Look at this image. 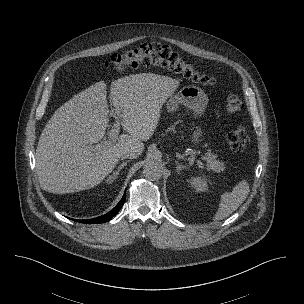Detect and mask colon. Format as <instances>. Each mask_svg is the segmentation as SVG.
Instances as JSON below:
<instances>
[{
  "label": "colon",
  "instance_id": "colon-1",
  "mask_svg": "<svg viewBox=\"0 0 304 304\" xmlns=\"http://www.w3.org/2000/svg\"><path fill=\"white\" fill-rule=\"evenodd\" d=\"M162 66L184 78L202 85H214L216 79L185 60L171 48L160 43L142 44L138 48L123 54H115L104 62L103 68L109 72H119L145 66ZM243 109V102L236 94L226 97L224 111L236 115ZM227 142L233 152H242L248 141V134L243 126H235L227 133Z\"/></svg>",
  "mask_w": 304,
  "mask_h": 304
}]
</instances>
